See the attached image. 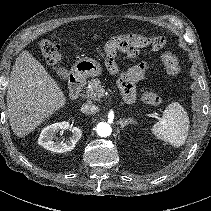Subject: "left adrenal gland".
Listing matches in <instances>:
<instances>
[{
    "label": "left adrenal gland",
    "instance_id": "obj_1",
    "mask_svg": "<svg viewBox=\"0 0 211 211\" xmlns=\"http://www.w3.org/2000/svg\"><path fill=\"white\" fill-rule=\"evenodd\" d=\"M119 123L121 125V128H124L128 124H134V120H132L131 118H126V119H121Z\"/></svg>",
    "mask_w": 211,
    "mask_h": 211
}]
</instances>
